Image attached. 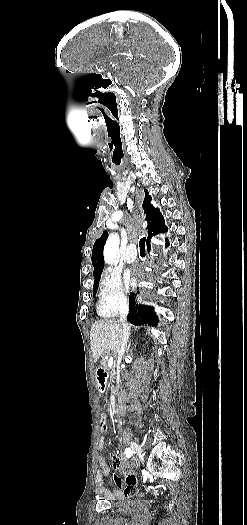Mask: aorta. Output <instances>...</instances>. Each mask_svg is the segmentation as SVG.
Listing matches in <instances>:
<instances>
[{
  "label": "aorta",
  "instance_id": "1",
  "mask_svg": "<svg viewBox=\"0 0 247 525\" xmlns=\"http://www.w3.org/2000/svg\"><path fill=\"white\" fill-rule=\"evenodd\" d=\"M119 251V236L117 234H111L104 246V261L105 263L112 264L117 259Z\"/></svg>",
  "mask_w": 247,
  "mask_h": 525
}]
</instances>
